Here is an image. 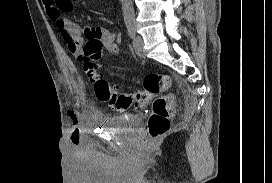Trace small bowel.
I'll use <instances>...</instances> for the list:
<instances>
[{
    "mask_svg": "<svg viewBox=\"0 0 272 183\" xmlns=\"http://www.w3.org/2000/svg\"><path fill=\"white\" fill-rule=\"evenodd\" d=\"M48 17L57 25L72 55L80 58L85 41H98L111 53L119 52L122 35L103 27H80L63 12L70 10L69 0H42Z\"/></svg>",
    "mask_w": 272,
    "mask_h": 183,
    "instance_id": "c3829d8e",
    "label": "small bowel"
}]
</instances>
